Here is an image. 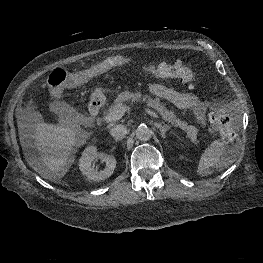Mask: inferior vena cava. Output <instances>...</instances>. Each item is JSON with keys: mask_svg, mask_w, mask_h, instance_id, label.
<instances>
[{"mask_svg": "<svg viewBox=\"0 0 263 263\" xmlns=\"http://www.w3.org/2000/svg\"><path fill=\"white\" fill-rule=\"evenodd\" d=\"M127 127L120 124V125H115L111 130L110 134L115 140H122L125 138L127 134Z\"/></svg>", "mask_w": 263, "mask_h": 263, "instance_id": "602c4592", "label": "inferior vena cava"}]
</instances>
